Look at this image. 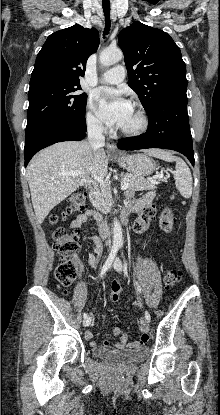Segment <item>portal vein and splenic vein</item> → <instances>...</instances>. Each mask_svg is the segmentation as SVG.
Here are the masks:
<instances>
[{
	"instance_id": "18ae733b",
	"label": "portal vein and splenic vein",
	"mask_w": 220,
	"mask_h": 415,
	"mask_svg": "<svg viewBox=\"0 0 220 415\" xmlns=\"http://www.w3.org/2000/svg\"><path fill=\"white\" fill-rule=\"evenodd\" d=\"M82 173L83 172H81V171H72V172H65L64 175H70V176L75 177V176L81 175ZM93 178L100 184L101 187H103L105 189H109V182H107L106 180H103L102 177L93 175ZM158 178H163V174H159L155 177L148 178V180H150L152 182H155V179H158ZM128 187H129V183H127V182L121 184V189L122 190H126V189H128Z\"/></svg>"
}]
</instances>
